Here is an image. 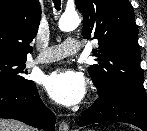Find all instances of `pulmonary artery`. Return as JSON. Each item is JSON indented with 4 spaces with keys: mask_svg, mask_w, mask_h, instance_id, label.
Masks as SVG:
<instances>
[{
    "mask_svg": "<svg viewBox=\"0 0 147 131\" xmlns=\"http://www.w3.org/2000/svg\"><path fill=\"white\" fill-rule=\"evenodd\" d=\"M81 48V44L76 39H66L62 44L44 49L35 59V63H50L67 56L76 54Z\"/></svg>",
    "mask_w": 147,
    "mask_h": 131,
    "instance_id": "obj_1",
    "label": "pulmonary artery"
}]
</instances>
